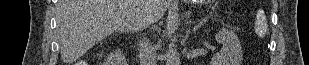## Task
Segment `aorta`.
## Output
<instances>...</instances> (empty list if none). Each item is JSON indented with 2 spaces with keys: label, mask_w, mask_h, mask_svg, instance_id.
Wrapping results in <instances>:
<instances>
[{
  "label": "aorta",
  "mask_w": 309,
  "mask_h": 65,
  "mask_svg": "<svg viewBox=\"0 0 309 65\" xmlns=\"http://www.w3.org/2000/svg\"><path fill=\"white\" fill-rule=\"evenodd\" d=\"M166 65H180V56L175 47H170L166 54Z\"/></svg>",
  "instance_id": "obj_1"
}]
</instances>
